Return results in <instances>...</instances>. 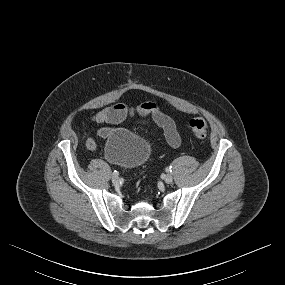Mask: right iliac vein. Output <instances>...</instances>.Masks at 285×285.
Returning a JSON list of instances; mask_svg holds the SVG:
<instances>
[{"instance_id":"1","label":"right iliac vein","mask_w":285,"mask_h":285,"mask_svg":"<svg viewBox=\"0 0 285 285\" xmlns=\"http://www.w3.org/2000/svg\"><path fill=\"white\" fill-rule=\"evenodd\" d=\"M112 182L114 183V184H118L119 183V177L118 176H112Z\"/></svg>"}]
</instances>
